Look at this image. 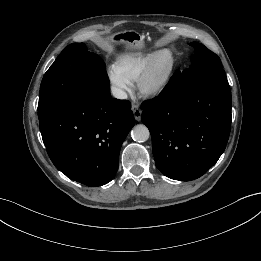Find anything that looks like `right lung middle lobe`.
<instances>
[{"label":"right lung middle lobe","instance_id":"obj_1","mask_svg":"<svg viewBox=\"0 0 261 261\" xmlns=\"http://www.w3.org/2000/svg\"><path fill=\"white\" fill-rule=\"evenodd\" d=\"M109 79L103 60L83 43L68 45L45 73L38 104V116L79 91H106Z\"/></svg>","mask_w":261,"mask_h":261}]
</instances>
